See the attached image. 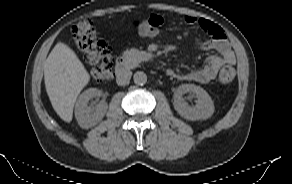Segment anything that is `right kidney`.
Returning a JSON list of instances; mask_svg holds the SVG:
<instances>
[{"instance_id": "1", "label": "right kidney", "mask_w": 292, "mask_h": 184, "mask_svg": "<svg viewBox=\"0 0 292 184\" xmlns=\"http://www.w3.org/2000/svg\"><path fill=\"white\" fill-rule=\"evenodd\" d=\"M100 95V90L89 88L79 96L75 105V117L80 127L85 129L91 128L104 117L108 108L105 102H100L95 107L88 106V102L91 98Z\"/></svg>"}]
</instances>
